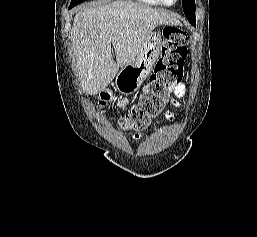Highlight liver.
Listing matches in <instances>:
<instances>
[{
	"mask_svg": "<svg viewBox=\"0 0 257 237\" xmlns=\"http://www.w3.org/2000/svg\"><path fill=\"white\" fill-rule=\"evenodd\" d=\"M178 23L164 10L127 1L81 8L74 18L71 42L84 92L104 91L119 68L136 59L156 27Z\"/></svg>",
	"mask_w": 257,
	"mask_h": 237,
	"instance_id": "liver-1",
	"label": "liver"
}]
</instances>
